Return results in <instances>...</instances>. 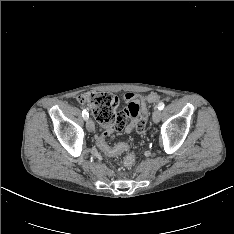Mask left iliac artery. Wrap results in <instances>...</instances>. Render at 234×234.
I'll use <instances>...</instances> for the list:
<instances>
[{"instance_id":"1","label":"left iliac artery","mask_w":234,"mask_h":234,"mask_svg":"<svg viewBox=\"0 0 234 234\" xmlns=\"http://www.w3.org/2000/svg\"><path fill=\"white\" fill-rule=\"evenodd\" d=\"M157 106H158L159 110H162L164 108V103L163 102H159Z\"/></svg>"}]
</instances>
